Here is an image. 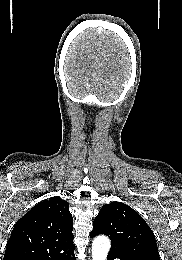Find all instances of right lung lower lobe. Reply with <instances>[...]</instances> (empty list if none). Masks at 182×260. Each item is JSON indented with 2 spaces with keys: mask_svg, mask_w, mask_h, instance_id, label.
Instances as JSON below:
<instances>
[{
  "mask_svg": "<svg viewBox=\"0 0 182 260\" xmlns=\"http://www.w3.org/2000/svg\"><path fill=\"white\" fill-rule=\"evenodd\" d=\"M48 260H76L74 250H70L61 254H58Z\"/></svg>",
  "mask_w": 182,
  "mask_h": 260,
  "instance_id": "right-lung-lower-lobe-1",
  "label": "right lung lower lobe"
}]
</instances>
